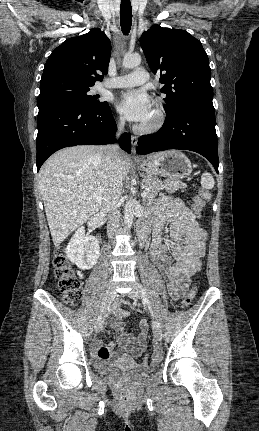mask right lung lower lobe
Masks as SVG:
<instances>
[{
	"mask_svg": "<svg viewBox=\"0 0 259 431\" xmlns=\"http://www.w3.org/2000/svg\"><path fill=\"white\" fill-rule=\"evenodd\" d=\"M37 124L38 171L57 150L75 145L112 143L116 131L109 105L95 108L73 102L53 103L39 108ZM120 145L130 153L131 137L128 133L121 136Z\"/></svg>",
	"mask_w": 259,
	"mask_h": 431,
	"instance_id": "right-lung-lower-lobe-1",
	"label": "right lung lower lobe"
}]
</instances>
